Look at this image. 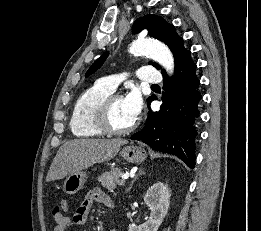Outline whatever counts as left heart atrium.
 Segmentation results:
<instances>
[{"label":"left heart atrium","instance_id":"1","mask_svg":"<svg viewBox=\"0 0 261 231\" xmlns=\"http://www.w3.org/2000/svg\"><path fill=\"white\" fill-rule=\"evenodd\" d=\"M124 101L129 112L136 119L140 115L143 106L141 94L138 90H132L126 95Z\"/></svg>","mask_w":261,"mask_h":231}]
</instances>
